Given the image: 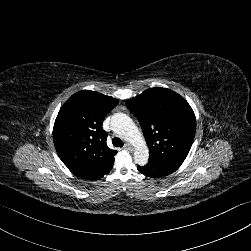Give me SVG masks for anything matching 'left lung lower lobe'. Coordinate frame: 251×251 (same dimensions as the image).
I'll return each mask as SVG.
<instances>
[{
  "label": "left lung lower lobe",
  "instance_id": "obj_1",
  "mask_svg": "<svg viewBox=\"0 0 251 251\" xmlns=\"http://www.w3.org/2000/svg\"><path fill=\"white\" fill-rule=\"evenodd\" d=\"M179 167L180 166L173 163L149 159V162L146 166H138L137 168L142 174L148 177L160 178L162 176H166L170 173H173Z\"/></svg>",
  "mask_w": 251,
  "mask_h": 251
}]
</instances>
